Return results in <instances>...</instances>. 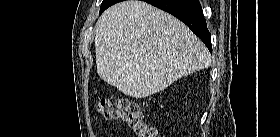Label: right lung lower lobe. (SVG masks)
<instances>
[{
    "instance_id": "right-lung-lower-lobe-1",
    "label": "right lung lower lobe",
    "mask_w": 280,
    "mask_h": 137,
    "mask_svg": "<svg viewBox=\"0 0 280 137\" xmlns=\"http://www.w3.org/2000/svg\"><path fill=\"white\" fill-rule=\"evenodd\" d=\"M147 3L158 7L182 22H184L194 34H196L203 43L207 46L210 52L211 34L206 25V20L203 16V11L199 0H143Z\"/></svg>"
}]
</instances>
